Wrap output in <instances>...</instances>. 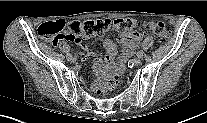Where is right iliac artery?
Returning <instances> with one entry per match:
<instances>
[{"instance_id": "82829eb1", "label": "right iliac artery", "mask_w": 207, "mask_h": 123, "mask_svg": "<svg viewBox=\"0 0 207 123\" xmlns=\"http://www.w3.org/2000/svg\"><path fill=\"white\" fill-rule=\"evenodd\" d=\"M71 57H72V55H71L70 53H68V54L66 55L67 60H70Z\"/></svg>"}]
</instances>
